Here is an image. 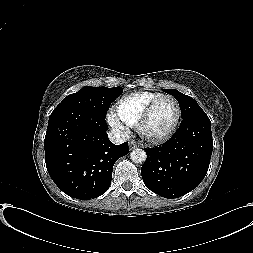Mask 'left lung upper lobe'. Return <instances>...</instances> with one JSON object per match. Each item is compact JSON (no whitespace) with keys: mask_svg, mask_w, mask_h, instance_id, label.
Here are the masks:
<instances>
[{"mask_svg":"<svg viewBox=\"0 0 253 253\" xmlns=\"http://www.w3.org/2000/svg\"><path fill=\"white\" fill-rule=\"evenodd\" d=\"M162 90L170 95H173L179 102V106L181 109V117L183 120L191 116L205 114V112L201 109V107L192 97L184 95L175 89Z\"/></svg>","mask_w":253,"mask_h":253,"instance_id":"left-lung-upper-lobe-1","label":"left lung upper lobe"}]
</instances>
